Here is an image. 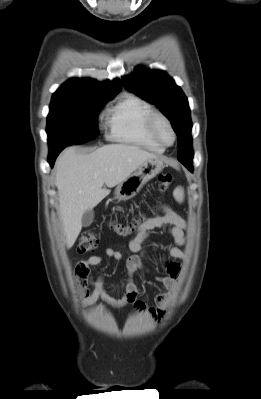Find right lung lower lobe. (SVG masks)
Here are the masks:
<instances>
[{"mask_svg": "<svg viewBox=\"0 0 261 399\" xmlns=\"http://www.w3.org/2000/svg\"><path fill=\"white\" fill-rule=\"evenodd\" d=\"M64 148H57V149H50V153H49V158H48V162L51 165V167L54 166L55 160L58 156V154L63 150Z\"/></svg>", "mask_w": 261, "mask_h": 399, "instance_id": "1", "label": "right lung lower lobe"}]
</instances>
